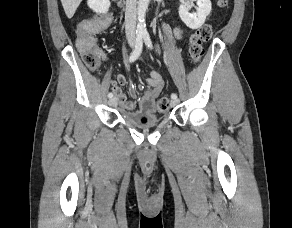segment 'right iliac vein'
I'll return each instance as SVG.
<instances>
[{
    "label": "right iliac vein",
    "mask_w": 292,
    "mask_h": 228,
    "mask_svg": "<svg viewBox=\"0 0 292 228\" xmlns=\"http://www.w3.org/2000/svg\"><path fill=\"white\" fill-rule=\"evenodd\" d=\"M131 46H133V43L131 44ZM116 103H117V99H116L115 97H114V98H111V99L109 100V104H110L111 106H115Z\"/></svg>",
    "instance_id": "1"
}]
</instances>
